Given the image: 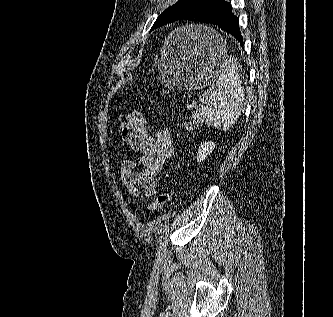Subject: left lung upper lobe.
I'll list each match as a JSON object with an SVG mask.
<instances>
[{"label": "left lung upper lobe", "instance_id": "left-lung-upper-lobe-1", "mask_svg": "<svg viewBox=\"0 0 333 317\" xmlns=\"http://www.w3.org/2000/svg\"><path fill=\"white\" fill-rule=\"evenodd\" d=\"M213 0H179L174 5L167 8L155 21L151 30L165 25L167 23L181 20L183 17L192 10L206 5Z\"/></svg>", "mask_w": 333, "mask_h": 317}]
</instances>
